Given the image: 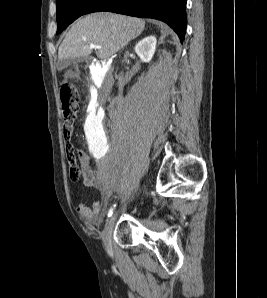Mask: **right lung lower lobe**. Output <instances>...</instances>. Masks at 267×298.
<instances>
[{"label": "right lung lower lobe", "instance_id": "1", "mask_svg": "<svg viewBox=\"0 0 267 298\" xmlns=\"http://www.w3.org/2000/svg\"><path fill=\"white\" fill-rule=\"evenodd\" d=\"M187 0H103L92 12L110 11L119 14L153 18L167 23L184 40Z\"/></svg>", "mask_w": 267, "mask_h": 298}]
</instances>
